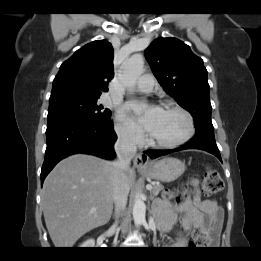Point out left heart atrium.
I'll use <instances>...</instances> for the list:
<instances>
[{"mask_svg":"<svg viewBox=\"0 0 261 261\" xmlns=\"http://www.w3.org/2000/svg\"><path fill=\"white\" fill-rule=\"evenodd\" d=\"M139 108V104L136 102H129L126 104L125 109L135 114L137 109ZM161 114V109L158 107H150L148 108L143 114L141 115H135V120L139 124V126L144 129L146 132L150 133L155 125L156 122Z\"/></svg>","mask_w":261,"mask_h":261,"instance_id":"obj_1","label":"left heart atrium"}]
</instances>
